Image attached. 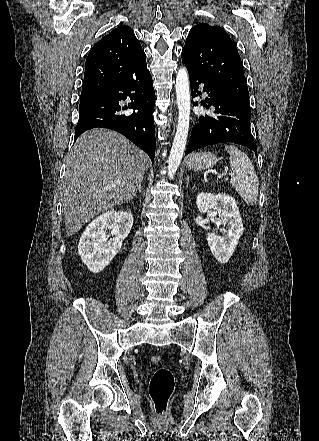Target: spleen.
I'll list each match as a JSON object with an SVG mask.
<instances>
[{"instance_id":"1","label":"spleen","mask_w":319,"mask_h":441,"mask_svg":"<svg viewBox=\"0 0 319 441\" xmlns=\"http://www.w3.org/2000/svg\"><path fill=\"white\" fill-rule=\"evenodd\" d=\"M230 155V167L234 173L230 183L240 197L249 205L257 201L259 180L248 156L234 145H226Z\"/></svg>"}]
</instances>
